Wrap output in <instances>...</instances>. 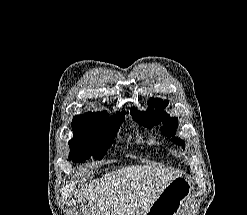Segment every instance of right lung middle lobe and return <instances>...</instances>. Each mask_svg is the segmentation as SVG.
Returning <instances> with one entry per match:
<instances>
[{
  "label": "right lung middle lobe",
  "instance_id": "right-lung-middle-lobe-1",
  "mask_svg": "<svg viewBox=\"0 0 247 215\" xmlns=\"http://www.w3.org/2000/svg\"><path fill=\"white\" fill-rule=\"evenodd\" d=\"M124 114L109 118L106 114L76 115L72 121L74 137L69 141V159L74 163L89 159H102L111 146Z\"/></svg>",
  "mask_w": 247,
  "mask_h": 215
}]
</instances>
